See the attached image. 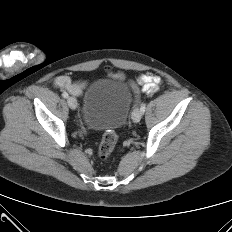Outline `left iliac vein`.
<instances>
[{
    "label": "left iliac vein",
    "instance_id": "1",
    "mask_svg": "<svg viewBox=\"0 0 232 232\" xmlns=\"http://www.w3.org/2000/svg\"><path fill=\"white\" fill-rule=\"evenodd\" d=\"M142 118V112L139 109H135L132 113V120L135 123H138Z\"/></svg>",
    "mask_w": 232,
    "mask_h": 232
}]
</instances>
